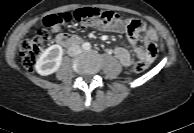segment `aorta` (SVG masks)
<instances>
[{
  "label": "aorta",
  "instance_id": "aorta-1",
  "mask_svg": "<svg viewBox=\"0 0 194 133\" xmlns=\"http://www.w3.org/2000/svg\"><path fill=\"white\" fill-rule=\"evenodd\" d=\"M82 47L84 50H89L91 48V45L89 42H85V43H83Z\"/></svg>",
  "mask_w": 194,
  "mask_h": 133
}]
</instances>
